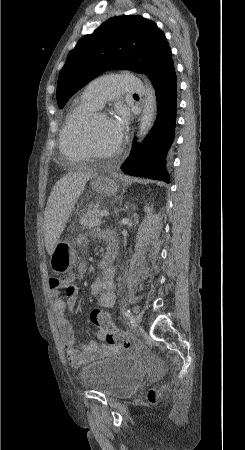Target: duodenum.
Segmentation results:
<instances>
[{"label":"duodenum","instance_id":"duodenum-1","mask_svg":"<svg viewBox=\"0 0 245 450\" xmlns=\"http://www.w3.org/2000/svg\"><path fill=\"white\" fill-rule=\"evenodd\" d=\"M100 268L102 269V271L106 272L110 269L111 267V260L109 257H106L104 259H102L99 263Z\"/></svg>","mask_w":245,"mask_h":450}]
</instances>
